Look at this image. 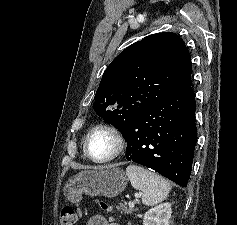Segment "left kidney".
<instances>
[{
	"mask_svg": "<svg viewBox=\"0 0 237 225\" xmlns=\"http://www.w3.org/2000/svg\"><path fill=\"white\" fill-rule=\"evenodd\" d=\"M171 214L170 203L159 204L145 213L143 225H169Z\"/></svg>",
	"mask_w": 237,
	"mask_h": 225,
	"instance_id": "left-kidney-1",
	"label": "left kidney"
}]
</instances>
